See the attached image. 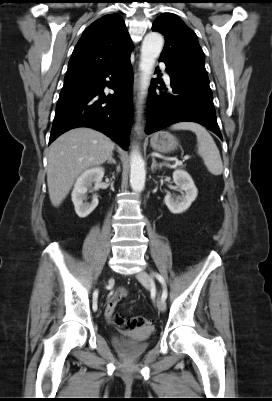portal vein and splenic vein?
<instances>
[{
	"label": "portal vein and splenic vein",
	"mask_w": 272,
	"mask_h": 401,
	"mask_svg": "<svg viewBox=\"0 0 272 401\" xmlns=\"http://www.w3.org/2000/svg\"><path fill=\"white\" fill-rule=\"evenodd\" d=\"M189 158H190L189 155L184 156V159H185V160H187V159H189ZM180 163H181L180 161L176 160V165H178V164H180Z\"/></svg>",
	"instance_id": "18ae733b"
}]
</instances>
